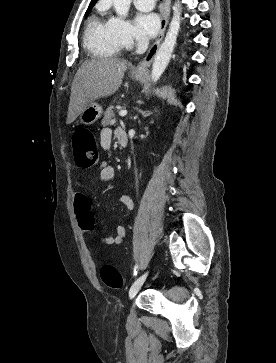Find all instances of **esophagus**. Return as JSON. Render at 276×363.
I'll return each mask as SVG.
<instances>
[{
    "label": "esophagus",
    "instance_id": "esophagus-1",
    "mask_svg": "<svg viewBox=\"0 0 276 363\" xmlns=\"http://www.w3.org/2000/svg\"><path fill=\"white\" fill-rule=\"evenodd\" d=\"M170 3H171V0H163L162 4L160 6L162 18H161V26H160V31H159L158 37H157L156 41L154 42V44L150 47L145 58L136 67L135 73H137V74L146 73L149 66L151 65V63L153 61V58L159 48L160 42L162 41L163 36H164V32L166 29L169 12H170Z\"/></svg>",
    "mask_w": 276,
    "mask_h": 363
}]
</instances>
